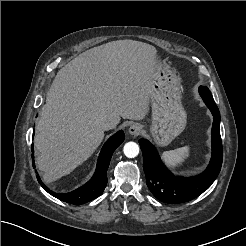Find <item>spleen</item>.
<instances>
[{
    "mask_svg": "<svg viewBox=\"0 0 246 246\" xmlns=\"http://www.w3.org/2000/svg\"><path fill=\"white\" fill-rule=\"evenodd\" d=\"M190 149V146H184L175 150L165 151L161 154V157L169 168L176 170L189 158Z\"/></svg>",
    "mask_w": 246,
    "mask_h": 246,
    "instance_id": "obj_1",
    "label": "spleen"
}]
</instances>
